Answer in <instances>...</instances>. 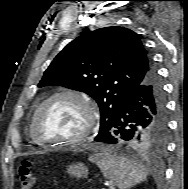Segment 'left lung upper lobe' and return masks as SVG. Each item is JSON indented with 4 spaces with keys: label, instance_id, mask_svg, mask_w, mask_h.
I'll list each match as a JSON object with an SVG mask.
<instances>
[{
    "label": "left lung upper lobe",
    "instance_id": "5c2ea615",
    "mask_svg": "<svg viewBox=\"0 0 188 189\" xmlns=\"http://www.w3.org/2000/svg\"><path fill=\"white\" fill-rule=\"evenodd\" d=\"M153 70L151 56L138 35L112 26L70 42L51 62L38 86L61 85L93 97L101 112L98 138L112 127L131 91ZM165 131L145 130L130 145L161 150Z\"/></svg>",
    "mask_w": 188,
    "mask_h": 189
}]
</instances>
